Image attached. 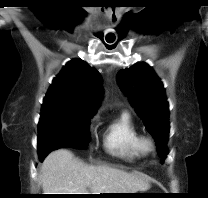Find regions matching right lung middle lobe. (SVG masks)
I'll use <instances>...</instances> for the list:
<instances>
[{
	"label": "right lung middle lobe",
	"mask_w": 208,
	"mask_h": 198,
	"mask_svg": "<svg viewBox=\"0 0 208 198\" xmlns=\"http://www.w3.org/2000/svg\"><path fill=\"white\" fill-rule=\"evenodd\" d=\"M92 116L72 110L42 111L38 124L39 159L61 146L86 149Z\"/></svg>",
	"instance_id": "right-lung-middle-lobe-1"
}]
</instances>
